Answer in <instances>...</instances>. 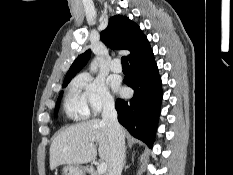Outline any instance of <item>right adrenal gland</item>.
<instances>
[{"instance_id": "1", "label": "right adrenal gland", "mask_w": 233, "mask_h": 175, "mask_svg": "<svg viewBox=\"0 0 233 175\" xmlns=\"http://www.w3.org/2000/svg\"><path fill=\"white\" fill-rule=\"evenodd\" d=\"M125 164H126V154H125V156H124V161H123L122 169H124V168H125Z\"/></svg>"}]
</instances>
